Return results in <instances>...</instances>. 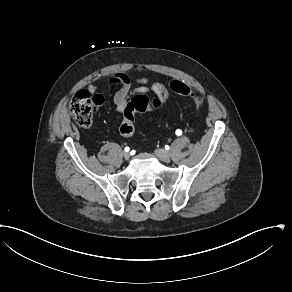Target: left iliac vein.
I'll list each match as a JSON object with an SVG mask.
<instances>
[{"label": "left iliac vein", "instance_id": "1", "mask_svg": "<svg viewBox=\"0 0 292 292\" xmlns=\"http://www.w3.org/2000/svg\"><path fill=\"white\" fill-rule=\"evenodd\" d=\"M156 156L163 162H169L170 161V154L164 149H157L155 151Z\"/></svg>", "mask_w": 292, "mask_h": 292}]
</instances>
